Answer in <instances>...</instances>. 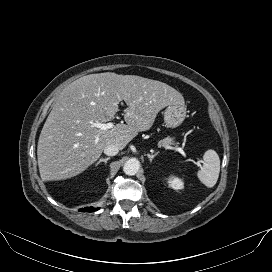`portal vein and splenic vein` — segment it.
Wrapping results in <instances>:
<instances>
[{
  "label": "portal vein and splenic vein",
  "mask_w": 272,
  "mask_h": 272,
  "mask_svg": "<svg viewBox=\"0 0 272 272\" xmlns=\"http://www.w3.org/2000/svg\"><path fill=\"white\" fill-rule=\"evenodd\" d=\"M92 125L94 127H96L99 131L112 129L114 127V124L112 122H108V123L96 122V123H92ZM97 142H98V136L96 137V140H95V143H97ZM163 146L165 149L175 150V151L181 153L184 157H186L185 152L180 147H173V146H169V145H163Z\"/></svg>",
  "instance_id": "18ae733b"
}]
</instances>
